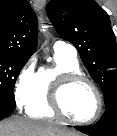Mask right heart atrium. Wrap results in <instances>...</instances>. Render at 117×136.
I'll use <instances>...</instances> for the list:
<instances>
[{
	"label": "right heart atrium",
	"mask_w": 117,
	"mask_h": 136,
	"mask_svg": "<svg viewBox=\"0 0 117 136\" xmlns=\"http://www.w3.org/2000/svg\"><path fill=\"white\" fill-rule=\"evenodd\" d=\"M35 65V58H30L15 79L13 94L18 108L26 107L37 93L38 71Z\"/></svg>",
	"instance_id": "obj_1"
}]
</instances>
